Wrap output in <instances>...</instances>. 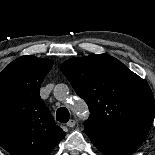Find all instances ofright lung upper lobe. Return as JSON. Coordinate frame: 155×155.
Returning a JSON list of instances; mask_svg holds the SVG:
<instances>
[{
	"instance_id": "obj_1",
	"label": "right lung upper lobe",
	"mask_w": 155,
	"mask_h": 155,
	"mask_svg": "<svg viewBox=\"0 0 155 155\" xmlns=\"http://www.w3.org/2000/svg\"><path fill=\"white\" fill-rule=\"evenodd\" d=\"M52 65L25 55L0 73V145L11 155H49L65 136L39 95Z\"/></svg>"
}]
</instances>
